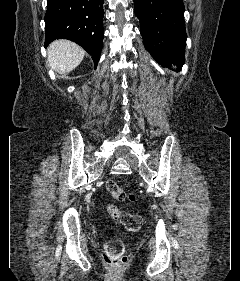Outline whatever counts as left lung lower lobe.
Here are the masks:
<instances>
[{
    "mask_svg": "<svg viewBox=\"0 0 240 281\" xmlns=\"http://www.w3.org/2000/svg\"><path fill=\"white\" fill-rule=\"evenodd\" d=\"M146 50L167 65L184 63L186 32L182 0H133Z\"/></svg>",
    "mask_w": 240,
    "mask_h": 281,
    "instance_id": "left-lung-lower-lobe-1",
    "label": "left lung lower lobe"
}]
</instances>
